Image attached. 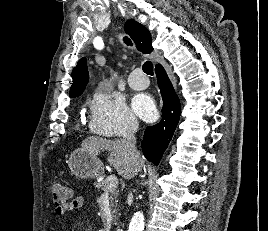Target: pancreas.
Returning a JSON list of instances; mask_svg holds the SVG:
<instances>
[{"mask_svg": "<svg viewBox=\"0 0 268 231\" xmlns=\"http://www.w3.org/2000/svg\"><path fill=\"white\" fill-rule=\"evenodd\" d=\"M95 187L98 190H102L103 192H106L108 190L107 186V179H104L100 182H95L94 183ZM110 193V203H111V207L114 208L112 210V214H113V218L116 219V213H117V209H116V205H117V198L119 195V190L117 189V187L112 188L111 190H109Z\"/></svg>", "mask_w": 268, "mask_h": 231, "instance_id": "1", "label": "pancreas"}]
</instances>
